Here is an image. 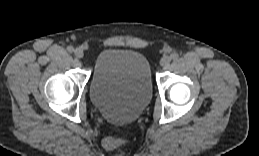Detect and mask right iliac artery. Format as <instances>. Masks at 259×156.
Segmentation results:
<instances>
[{
	"mask_svg": "<svg viewBox=\"0 0 259 156\" xmlns=\"http://www.w3.org/2000/svg\"><path fill=\"white\" fill-rule=\"evenodd\" d=\"M68 52L72 53L74 51V48L72 46L67 47Z\"/></svg>",
	"mask_w": 259,
	"mask_h": 156,
	"instance_id": "obj_1",
	"label": "right iliac artery"
}]
</instances>
